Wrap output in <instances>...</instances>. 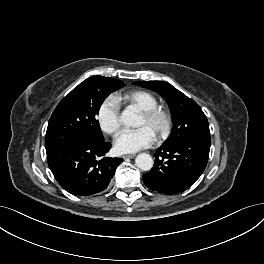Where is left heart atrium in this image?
Returning <instances> with one entry per match:
<instances>
[{
	"instance_id": "39dd6f15",
	"label": "left heart atrium",
	"mask_w": 264,
	"mask_h": 264,
	"mask_svg": "<svg viewBox=\"0 0 264 264\" xmlns=\"http://www.w3.org/2000/svg\"><path fill=\"white\" fill-rule=\"evenodd\" d=\"M155 142V134L147 127L122 131L114 142L120 154H131L150 147Z\"/></svg>"
}]
</instances>
